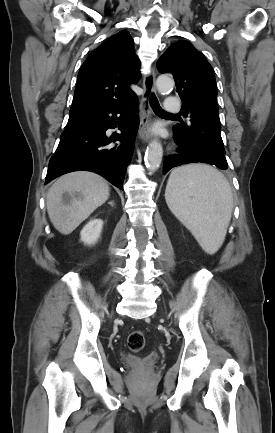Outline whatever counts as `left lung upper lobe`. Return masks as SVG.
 Returning <instances> with one entry per match:
<instances>
[{"label": "left lung upper lobe", "mask_w": 275, "mask_h": 433, "mask_svg": "<svg viewBox=\"0 0 275 433\" xmlns=\"http://www.w3.org/2000/svg\"><path fill=\"white\" fill-rule=\"evenodd\" d=\"M161 73L173 74L187 121L173 126L187 154L203 163L227 169L221 138L214 71L205 56L185 40L172 44L157 61Z\"/></svg>", "instance_id": "obj_1"}]
</instances>
